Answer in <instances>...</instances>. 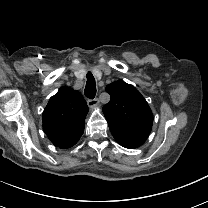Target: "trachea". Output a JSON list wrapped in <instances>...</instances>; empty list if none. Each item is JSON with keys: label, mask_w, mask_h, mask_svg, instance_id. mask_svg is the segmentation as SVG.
Masks as SVG:
<instances>
[{"label": "trachea", "mask_w": 208, "mask_h": 208, "mask_svg": "<svg viewBox=\"0 0 208 208\" xmlns=\"http://www.w3.org/2000/svg\"><path fill=\"white\" fill-rule=\"evenodd\" d=\"M86 78L87 82L84 91L85 96L89 99H94L96 95V83L93 74L90 71H88V73L86 74Z\"/></svg>", "instance_id": "1"}]
</instances>
